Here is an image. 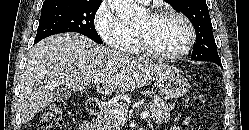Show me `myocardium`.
<instances>
[{
  "label": "myocardium",
  "mask_w": 249,
  "mask_h": 130,
  "mask_svg": "<svg viewBox=\"0 0 249 130\" xmlns=\"http://www.w3.org/2000/svg\"><path fill=\"white\" fill-rule=\"evenodd\" d=\"M150 16H152L153 18L172 16V17L180 19L187 28L188 38H187L186 43L183 45V47L179 51L175 53H171V54H160V53L155 52L150 47L145 35L142 32L136 30V35H137L140 51L146 57L152 60H155V61H174V60H178L184 57L192 49L196 41V31H195V27L193 23L186 15L174 9H158V10L151 11Z\"/></svg>",
  "instance_id": "obj_1"
}]
</instances>
